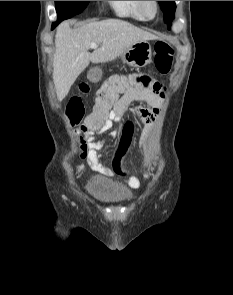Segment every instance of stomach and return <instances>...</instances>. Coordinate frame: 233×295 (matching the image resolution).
<instances>
[{"label": "stomach", "mask_w": 233, "mask_h": 295, "mask_svg": "<svg viewBox=\"0 0 233 295\" xmlns=\"http://www.w3.org/2000/svg\"><path fill=\"white\" fill-rule=\"evenodd\" d=\"M124 63L131 67H145L151 62L152 48L147 40H142L132 44L121 55ZM102 71L99 68H93L88 73V78L92 82H97L101 79Z\"/></svg>", "instance_id": "obj_1"}]
</instances>
